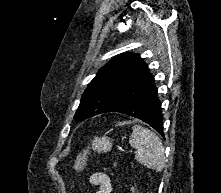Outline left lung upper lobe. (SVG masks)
I'll return each instance as SVG.
<instances>
[{"label":"left lung upper lobe","mask_w":221,"mask_h":193,"mask_svg":"<svg viewBox=\"0 0 221 193\" xmlns=\"http://www.w3.org/2000/svg\"><path fill=\"white\" fill-rule=\"evenodd\" d=\"M148 71L138 54L127 53L113 58L88 85L74 119L85 120L103 113L126 87Z\"/></svg>","instance_id":"5c2ea615"}]
</instances>
